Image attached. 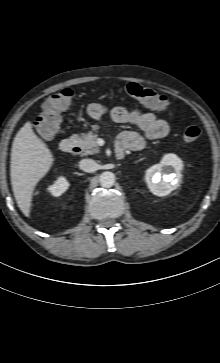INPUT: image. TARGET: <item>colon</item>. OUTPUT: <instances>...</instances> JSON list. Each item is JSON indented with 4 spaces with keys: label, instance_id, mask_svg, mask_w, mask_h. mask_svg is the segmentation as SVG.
Segmentation results:
<instances>
[{
    "label": "colon",
    "instance_id": "obj_1",
    "mask_svg": "<svg viewBox=\"0 0 220 363\" xmlns=\"http://www.w3.org/2000/svg\"><path fill=\"white\" fill-rule=\"evenodd\" d=\"M124 92L147 106L158 110H169L170 102L166 96L157 91L141 86L137 83L125 85ZM74 92L70 88L61 89L51 94L46 100L41 115L34 123L35 133L42 139L55 136L61 125V113L71 104ZM202 136L201 130L196 126L186 127L182 137L186 142H195Z\"/></svg>",
    "mask_w": 220,
    "mask_h": 363
}]
</instances>
